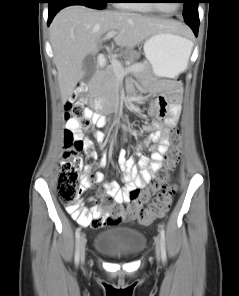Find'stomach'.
I'll list each match as a JSON object with an SVG mask.
<instances>
[{
	"label": "stomach",
	"instance_id": "1",
	"mask_svg": "<svg viewBox=\"0 0 239 296\" xmlns=\"http://www.w3.org/2000/svg\"><path fill=\"white\" fill-rule=\"evenodd\" d=\"M192 42L173 32L151 35L144 43V53L152 73L161 79L176 78L187 67Z\"/></svg>",
	"mask_w": 239,
	"mask_h": 296
}]
</instances>
